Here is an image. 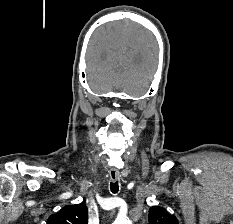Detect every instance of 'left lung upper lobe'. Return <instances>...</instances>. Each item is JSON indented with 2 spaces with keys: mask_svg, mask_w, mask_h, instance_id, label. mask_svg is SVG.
Listing matches in <instances>:
<instances>
[{
  "mask_svg": "<svg viewBox=\"0 0 233 224\" xmlns=\"http://www.w3.org/2000/svg\"><path fill=\"white\" fill-rule=\"evenodd\" d=\"M150 224H179L175 216L169 214L163 207L153 206L149 209Z\"/></svg>",
  "mask_w": 233,
  "mask_h": 224,
  "instance_id": "obj_1",
  "label": "left lung upper lobe"
}]
</instances>
